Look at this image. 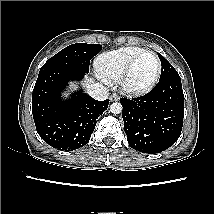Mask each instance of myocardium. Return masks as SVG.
Wrapping results in <instances>:
<instances>
[{
  "label": "myocardium",
  "instance_id": "obj_1",
  "mask_svg": "<svg viewBox=\"0 0 214 214\" xmlns=\"http://www.w3.org/2000/svg\"><path fill=\"white\" fill-rule=\"evenodd\" d=\"M146 54H150L155 57L156 62H157V70L154 78L146 85L141 86V87H134L130 85V76L131 73L136 65V63ZM161 71H162V64L159 56L151 51V50H144L138 55H136L126 66L125 70L123 71L120 79H119V86L120 89L123 93L132 95V96H140L143 94H146L150 92L158 83L160 76H161Z\"/></svg>",
  "mask_w": 214,
  "mask_h": 214
}]
</instances>
